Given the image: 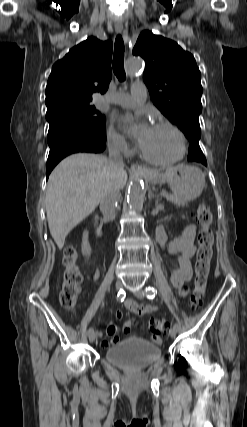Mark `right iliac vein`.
<instances>
[{"label":"right iliac vein","mask_w":247,"mask_h":427,"mask_svg":"<svg viewBox=\"0 0 247 427\" xmlns=\"http://www.w3.org/2000/svg\"><path fill=\"white\" fill-rule=\"evenodd\" d=\"M122 286H123V284H122V282L120 281V280H117L116 281V284H115V287H116V289L117 290H120V289H122ZM88 338H89V341L91 342V343H93L95 340H96V338H97V333L96 332H91L89 335H88Z\"/></svg>","instance_id":"1"}]
</instances>
